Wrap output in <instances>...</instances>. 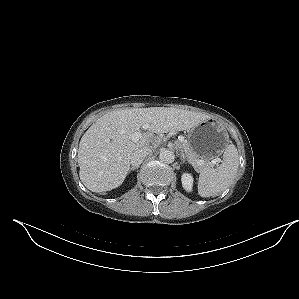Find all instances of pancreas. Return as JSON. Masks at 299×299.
<instances>
[{
	"instance_id": "pancreas-1",
	"label": "pancreas",
	"mask_w": 299,
	"mask_h": 299,
	"mask_svg": "<svg viewBox=\"0 0 299 299\" xmlns=\"http://www.w3.org/2000/svg\"><path fill=\"white\" fill-rule=\"evenodd\" d=\"M184 150L186 158L195 166L196 169H201L202 165H197L196 162L202 160L200 156L192 149L188 141H184L181 145Z\"/></svg>"
}]
</instances>
